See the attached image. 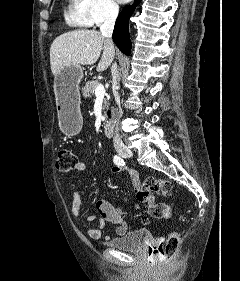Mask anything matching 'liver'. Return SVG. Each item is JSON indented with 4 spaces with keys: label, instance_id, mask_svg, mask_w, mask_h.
Wrapping results in <instances>:
<instances>
[{
    "label": "liver",
    "instance_id": "6515ba94",
    "mask_svg": "<svg viewBox=\"0 0 240 281\" xmlns=\"http://www.w3.org/2000/svg\"><path fill=\"white\" fill-rule=\"evenodd\" d=\"M101 59L97 71L106 70L113 61L115 48L113 42L96 30H74L64 33L51 44L50 65L53 75H58L64 66L69 65H92Z\"/></svg>",
    "mask_w": 240,
    "mask_h": 281
}]
</instances>
